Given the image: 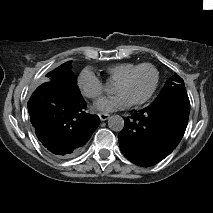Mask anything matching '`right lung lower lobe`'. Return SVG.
I'll return each instance as SVG.
<instances>
[{"label":"right lung lower lobe","mask_w":213,"mask_h":213,"mask_svg":"<svg viewBox=\"0 0 213 213\" xmlns=\"http://www.w3.org/2000/svg\"><path fill=\"white\" fill-rule=\"evenodd\" d=\"M30 121L37 137L53 154L69 156L83 146L98 127L97 115H89L80 92L48 81L28 101Z\"/></svg>","instance_id":"right-lung-lower-lobe-1"}]
</instances>
